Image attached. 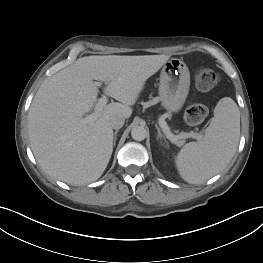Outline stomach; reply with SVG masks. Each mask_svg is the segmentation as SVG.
Listing matches in <instances>:
<instances>
[{
  "instance_id": "0dacf381",
  "label": "stomach",
  "mask_w": 263,
  "mask_h": 263,
  "mask_svg": "<svg viewBox=\"0 0 263 263\" xmlns=\"http://www.w3.org/2000/svg\"><path fill=\"white\" fill-rule=\"evenodd\" d=\"M190 88V72L186 64L177 58L168 60L160 74L159 96L163 107L171 113L184 105Z\"/></svg>"
}]
</instances>
